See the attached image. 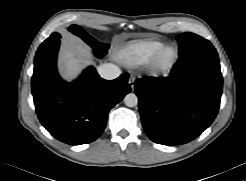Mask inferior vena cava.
I'll use <instances>...</instances> for the list:
<instances>
[{"label": "inferior vena cava", "mask_w": 246, "mask_h": 181, "mask_svg": "<svg viewBox=\"0 0 246 181\" xmlns=\"http://www.w3.org/2000/svg\"><path fill=\"white\" fill-rule=\"evenodd\" d=\"M99 75L106 80H113L120 76L121 70L114 64L106 63L98 67Z\"/></svg>", "instance_id": "1"}]
</instances>
